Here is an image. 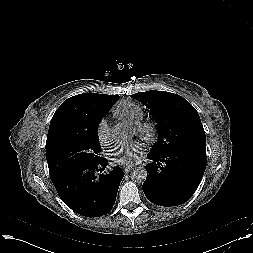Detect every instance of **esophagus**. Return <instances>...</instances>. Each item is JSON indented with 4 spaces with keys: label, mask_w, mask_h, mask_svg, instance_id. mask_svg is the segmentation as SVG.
I'll return each mask as SVG.
<instances>
[{
    "label": "esophagus",
    "mask_w": 253,
    "mask_h": 253,
    "mask_svg": "<svg viewBox=\"0 0 253 253\" xmlns=\"http://www.w3.org/2000/svg\"><path fill=\"white\" fill-rule=\"evenodd\" d=\"M132 169H133L132 166H125V167H123V171H124L125 173H129Z\"/></svg>",
    "instance_id": "esophagus-1"
}]
</instances>
